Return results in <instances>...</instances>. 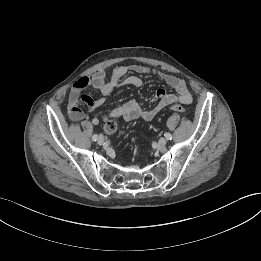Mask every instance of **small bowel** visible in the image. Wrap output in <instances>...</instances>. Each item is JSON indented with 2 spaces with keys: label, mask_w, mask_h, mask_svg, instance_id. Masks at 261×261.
Segmentation results:
<instances>
[{
  "label": "small bowel",
  "mask_w": 261,
  "mask_h": 261,
  "mask_svg": "<svg viewBox=\"0 0 261 261\" xmlns=\"http://www.w3.org/2000/svg\"><path fill=\"white\" fill-rule=\"evenodd\" d=\"M129 72H133L137 75H127ZM140 75L157 77L170 86L175 93H168L165 89H158L153 104L149 108L142 107L135 100H129L111 110L109 114L103 118H99L97 116L93 117L91 121L94 125H98L101 121H106L109 118L119 117L123 118L125 121H132L136 119L150 121L168 105L175 102H180L182 104H190L192 102V95L183 79L140 64H131L127 66L121 65L115 67L109 77H107L105 71L99 70L90 76L78 78L74 82L70 91L68 104L69 117L73 121L83 119L84 114L80 109L81 104L86 105L91 111L94 112L104 104L106 96L121 86H142L143 81ZM88 87L98 90L101 97L92 99L91 97L83 94V91Z\"/></svg>",
  "instance_id": "1"
}]
</instances>
